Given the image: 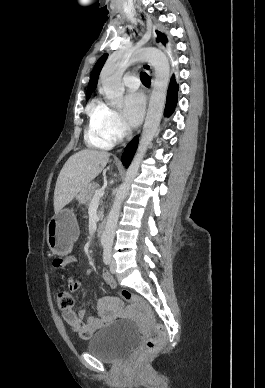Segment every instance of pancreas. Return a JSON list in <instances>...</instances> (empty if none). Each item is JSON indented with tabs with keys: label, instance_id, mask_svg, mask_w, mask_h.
Listing matches in <instances>:
<instances>
[{
	"label": "pancreas",
	"instance_id": "pancreas-1",
	"mask_svg": "<svg viewBox=\"0 0 265 388\" xmlns=\"http://www.w3.org/2000/svg\"><path fill=\"white\" fill-rule=\"evenodd\" d=\"M99 184L97 182H91V184H87L85 188L80 190V194L76 196V200H78L79 204H88L89 200H92V196H94L95 190H97ZM99 218L103 216V208H100L98 212Z\"/></svg>",
	"mask_w": 265,
	"mask_h": 388
}]
</instances>
